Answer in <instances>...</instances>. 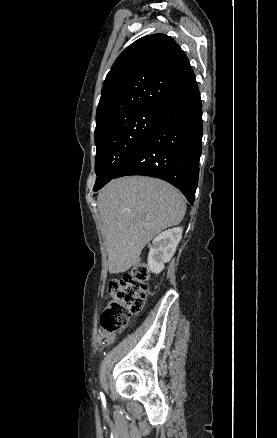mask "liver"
Returning a JSON list of instances; mask_svg holds the SVG:
<instances>
[{
	"mask_svg": "<svg viewBox=\"0 0 277 438\" xmlns=\"http://www.w3.org/2000/svg\"><path fill=\"white\" fill-rule=\"evenodd\" d=\"M97 204L110 274L130 270L146 244L162 230L180 224L186 212L179 190L145 176L111 180L100 190Z\"/></svg>",
	"mask_w": 277,
	"mask_h": 438,
	"instance_id": "1",
	"label": "liver"
}]
</instances>
